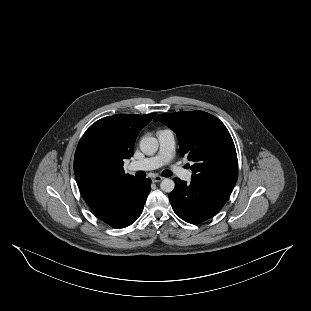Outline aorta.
<instances>
[{
    "label": "aorta",
    "mask_w": 311,
    "mask_h": 311,
    "mask_svg": "<svg viewBox=\"0 0 311 311\" xmlns=\"http://www.w3.org/2000/svg\"><path fill=\"white\" fill-rule=\"evenodd\" d=\"M158 140L154 137L146 136L140 141V149L146 155H153L158 150ZM175 187L173 180L165 178L160 183V188L164 192H171Z\"/></svg>",
    "instance_id": "obj_1"
}]
</instances>
